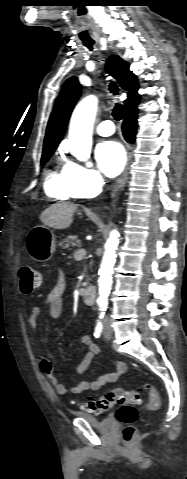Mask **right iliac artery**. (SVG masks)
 <instances>
[{
  "label": "right iliac artery",
  "instance_id": "1",
  "mask_svg": "<svg viewBox=\"0 0 187 479\" xmlns=\"http://www.w3.org/2000/svg\"><path fill=\"white\" fill-rule=\"evenodd\" d=\"M100 318H102V317H100ZM102 331H103L102 323H101V321H98V323H97V325H96V327H95V330H94V336H95L96 338L100 337Z\"/></svg>",
  "mask_w": 187,
  "mask_h": 479
}]
</instances>
